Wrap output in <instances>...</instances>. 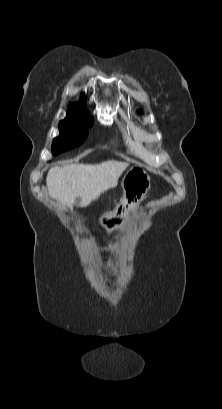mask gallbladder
<instances>
[{"label":"gallbladder","mask_w":222,"mask_h":409,"mask_svg":"<svg viewBox=\"0 0 222 409\" xmlns=\"http://www.w3.org/2000/svg\"><path fill=\"white\" fill-rule=\"evenodd\" d=\"M79 202H80V199L79 198H77L76 200H75V204H79Z\"/></svg>","instance_id":"gallbladder-1"}]
</instances>
